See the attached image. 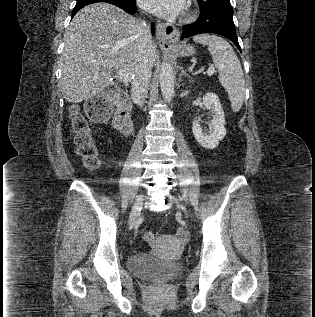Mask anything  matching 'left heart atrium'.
Wrapping results in <instances>:
<instances>
[{"mask_svg": "<svg viewBox=\"0 0 315 317\" xmlns=\"http://www.w3.org/2000/svg\"><path fill=\"white\" fill-rule=\"evenodd\" d=\"M146 11L160 17H174L183 9V0H138Z\"/></svg>", "mask_w": 315, "mask_h": 317, "instance_id": "1", "label": "left heart atrium"}]
</instances>
